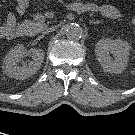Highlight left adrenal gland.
I'll return each mask as SVG.
<instances>
[{
    "label": "left adrenal gland",
    "mask_w": 135,
    "mask_h": 135,
    "mask_svg": "<svg viewBox=\"0 0 135 135\" xmlns=\"http://www.w3.org/2000/svg\"><path fill=\"white\" fill-rule=\"evenodd\" d=\"M101 21H89V24H99Z\"/></svg>",
    "instance_id": "1"
}]
</instances>
